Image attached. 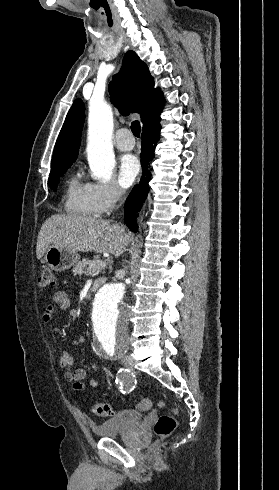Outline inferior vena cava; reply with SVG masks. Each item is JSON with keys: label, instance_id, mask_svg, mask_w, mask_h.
<instances>
[{"label": "inferior vena cava", "instance_id": "602c4592", "mask_svg": "<svg viewBox=\"0 0 279 490\" xmlns=\"http://www.w3.org/2000/svg\"><path fill=\"white\" fill-rule=\"evenodd\" d=\"M116 194H117V198H118V200H120V198H122V196H123V194H124V192H123L122 188H117V192H116Z\"/></svg>", "mask_w": 279, "mask_h": 490}]
</instances>
